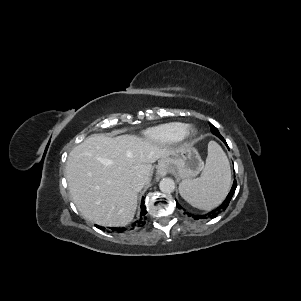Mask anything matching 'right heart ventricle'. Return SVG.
Segmentation results:
<instances>
[{"label": "right heart ventricle", "mask_w": 301, "mask_h": 301, "mask_svg": "<svg viewBox=\"0 0 301 301\" xmlns=\"http://www.w3.org/2000/svg\"><path fill=\"white\" fill-rule=\"evenodd\" d=\"M187 127L183 122H170L147 129L144 136L156 144H173L181 140Z\"/></svg>", "instance_id": "obj_1"}]
</instances>
